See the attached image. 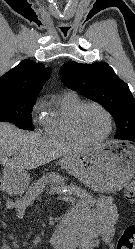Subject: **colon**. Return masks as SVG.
<instances>
[{"mask_svg":"<svg viewBox=\"0 0 135 249\" xmlns=\"http://www.w3.org/2000/svg\"><path fill=\"white\" fill-rule=\"evenodd\" d=\"M124 197L130 204H135V178L125 187ZM116 249H135V225L124 229L117 240Z\"/></svg>","mask_w":135,"mask_h":249,"instance_id":"5ec220e1","label":"colon"}]
</instances>
